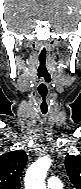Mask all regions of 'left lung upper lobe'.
Wrapping results in <instances>:
<instances>
[{
    "instance_id": "obj_1",
    "label": "left lung upper lobe",
    "mask_w": 81,
    "mask_h": 189,
    "mask_svg": "<svg viewBox=\"0 0 81 189\" xmlns=\"http://www.w3.org/2000/svg\"><path fill=\"white\" fill-rule=\"evenodd\" d=\"M65 168L72 184L77 189H81V156L67 155Z\"/></svg>"
}]
</instances>
